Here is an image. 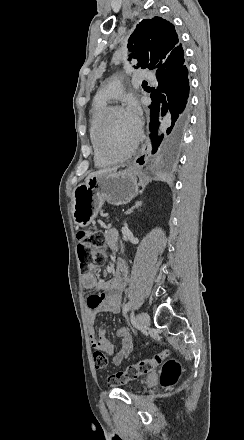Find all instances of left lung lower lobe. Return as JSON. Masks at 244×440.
Listing matches in <instances>:
<instances>
[{
	"instance_id": "obj_1",
	"label": "left lung lower lobe",
	"mask_w": 244,
	"mask_h": 440,
	"mask_svg": "<svg viewBox=\"0 0 244 440\" xmlns=\"http://www.w3.org/2000/svg\"><path fill=\"white\" fill-rule=\"evenodd\" d=\"M157 85L152 88V103L150 130L156 133L164 125L166 135L156 138L152 152L155 153L160 145L163 155L174 154L182 145L189 123V96L188 70L184 65V57L168 66H161L156 70ZM168 113L167 117L164 116ZM164 138V139H163Z\"/></svg>"
}]
</instances>
